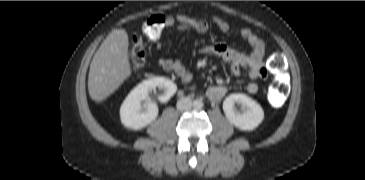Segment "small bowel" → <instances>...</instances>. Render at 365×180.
<instances>
[{"label": "small bowel", "mask_w": 365, "mask_h": 180, "mask_svg": "<svg viewBox=\"0 0 365 180\" xmlns=\"http://www.w3.org/2000/svg\"><path fill=\"white\" fill-rule=\"evenodd\" d=\"M215 25L222 32H228L229 23L219 17L213 19ZM165 26L174 28L177 32L193 30L198 34H205L208 31V24L204 20H196L184 14L169 15L165 18ZM240 36L246 40L251 48L250 52L245 53L224 44H210L201 48L202 54L213 55L227 62L230 72L234 76H239L245 70L248 72L251 80L247 83L245 90L247 93L254 95L258 92L259 86L256 80L265 79L266 57L263 40L255 35L249 28L240 29ZM158 49L162 47L160 39L155 40ZM159 66L166 71L174 72L180 79L188 83L191 81V74L180 62L168 58H161ZM226 90L223 86L212 85L206 88V95L211 101H219L225 95Z\"/></svg>", "instance_id": "1"}]
</instances>
